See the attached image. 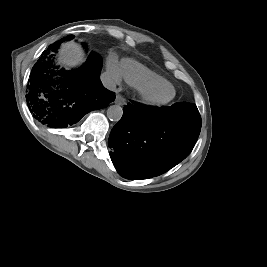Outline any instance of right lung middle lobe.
Returning <instances> with one entry per match:
<instances>
[{"instance_id": "dd1d6c3e", "label": "right lung middle lobe", "mask_w": 267, "mask_h": 267, "mask_svg": "<svg viewBox=\"0 0 267 267\" xmlns=\"http://www.w3.org/2000/svg\"><path fill=\"white\" fill-rule=\"evenodd\" d=\"M74 36L73 35H69L67 36L64 40H70V39H73ZM61 43V41H58V42H55L54 44H51L49 47H53V46H57ZM84 47H86V44H83Z\"/></svg>"}]
</instances>
